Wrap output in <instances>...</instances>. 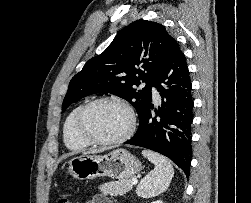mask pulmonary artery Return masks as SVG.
Returning a JSON list of instances; mask_svg holds the SVG:
<instances>
[{"label": "pulmonary artery", "mask_w": 251, "mask_h": 203, "mask_svg": "<svg viewBox=\"0 0 251 203\" xmlns=\"http://www.w3.org/2000/svg\"><path fill=\"white\" fill-rule=\"evenodd\" d=\"M152 92H153V95H154L155 97H158V93H157V91H156L155 88H152Z\"/></svg>", "instance_id": "pulmonary-artery-1"}]
</instances>
